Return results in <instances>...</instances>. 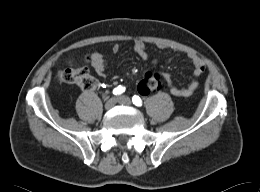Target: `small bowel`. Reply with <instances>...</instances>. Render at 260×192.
I'll return each instance as SVG.
<instances>
[{
  "mask_svg": "<svg viewBox=\"0 0 260 192\" xmlns=\"http://www.w3.org/2000/svg\"><path fill=\"white\" fill-rule=\"evenodd\" d=\"M133 49L142 60L144 61L149 60V55L146 51V46L143 41L137 40L133 45ZM111 51L113 53H118L120 51V45L117 43L113 44L111 46ZM190 60L193 64L192 74L194 77H198L205 71L206 65L201 58L195 55H190ZM156 62H157L156 60H152L153 64H155ZM91 66L93 67V69L98 75L100 76L105 75L106 69L103 63L102 55L100 53L94 54L93 59L91 61ZM151 74L152 73L147 74L145 78L140 81L138 85V89L141 94L146 95L150 93V85L146 80V77L150 76ZM160 76L168 85L171 94L176 97H189L196 92V90L199 88L200 85L198 81H192L185 87H177L176 85H174L172 78L168 73H161Z\"/></svg>",
  "mask_w": 260,
  "mask_h": 192,
  "instance_id": "1",
  "label": "small bowel"
}]
</instances>
